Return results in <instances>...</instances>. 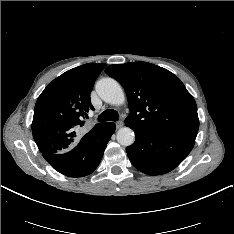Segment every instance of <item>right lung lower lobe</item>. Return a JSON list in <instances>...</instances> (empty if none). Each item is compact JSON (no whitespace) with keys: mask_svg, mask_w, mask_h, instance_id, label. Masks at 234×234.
I'll return each mask as SVG.
<instances>
[{"mask_svg":"<svg viewBox=\"0 0 234 234\" xmlns=\"http://www.w3.org/2000/svg\"><path fill=\"white\" fill-rule=\"evenodd\" d=\"M115 128L114 123H102L85 134L72 149L57 154L45 153L43 157L63 175L70 177L89 175L99 165Z\"/></svg>","mask_w":234,"mask_h":234,"instance_id":"right-lung-lower-lobe-1","label":"right lung lower lobe"}]
</instances>
